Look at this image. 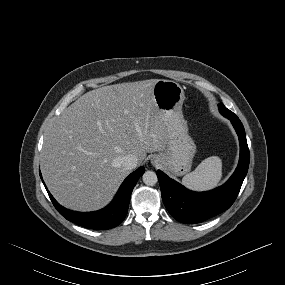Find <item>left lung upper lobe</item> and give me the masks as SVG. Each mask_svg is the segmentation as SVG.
<instances>
[{
	"mask_svg": "<svg viewBox=\"0 0 285 285\" xmlns=\"http://www.w3.org/2000/svg\"><path fill=\"white\" fill-rule=\"evenodd\" d=\"M219 110H220L222 115L236 116L233 112H231L229 109H227L222 103L219 104Z\"/></svg>",
	"mask_w": 285,
	"mask_h": 285,
	"instance_id": "5c2ea615",
	"label": "left lung upper lobe"
}]
</instances>
